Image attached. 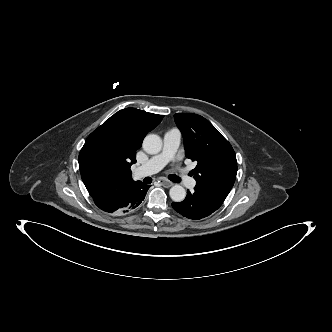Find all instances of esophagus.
Listing matches in <instances>:
<instances>
[{
    "label": "esophagus",
    "instance_id": "34e87169",
    "mask_svg": "<svg viewBox=\"0 0 332 332\" xmlns=\"http://www.w3.org/2000/svg\"><path fill=\"white\" fill-rule=\"evenodd\" d=\"M158 182L161 183V185L165 186V187H171L173 185L172 182H170L167 179L161 178Z\"/></svg>",
    "mask_w": 332,
    "mask_h": 332
}]
</instances>
